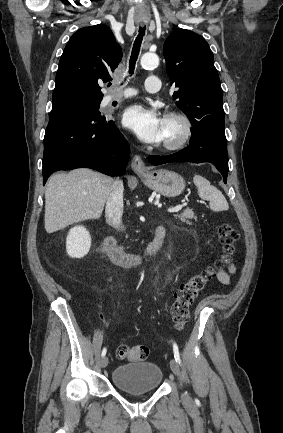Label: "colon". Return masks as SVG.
<instances>
[{
    "instance_id": "1",
    "label": "colon",
    "mask_w": 283,
    "mask_h": 433,
    "mask_svg": "<svg viewBox=\"0 0 283 433\" xmlns=\"http://www.w3.org/2000/svg\"><path fill=\"white\" fill-rule=\"evenodd\" d=\"M217 236L222 244L223 256L214 266L208 267L201 272L191 276L185 283L181 284L174 294V302L171 307V315L175 328L183 330L190 317V307L206 284L216 276L217 270L228 262L236 251V242L239 233L229 224H220L217 227ZM121 359L128 361H141L148 357L149 348L146 345H121L117 350Z\"/></svg>"
}]
</instances>
